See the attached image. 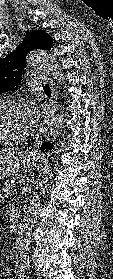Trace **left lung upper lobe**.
Here are the masks:
<instances>
[{
	"label": "left lung upper lobe",
	"instance_id": "5c2ea615",
	"mask_svg": "<svg viewBox=\"0 0 113 279\" xmlns=\"http://www.w3.org/2000/svg\"><path fill=\"white\" fill-rule=\"evenodd\" d=\"M53 38L43 30L28 32L16 50L0 59V94L19 84L26 67V56L34 49L50 50Z\"/></svg>",
	"mask_w": 113,
	"mask_h": 279
}]
</instances>
